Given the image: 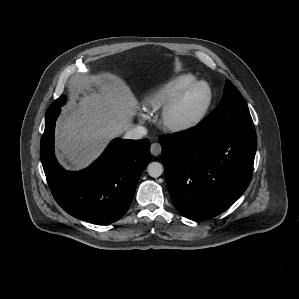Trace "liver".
<instances>
[{"label": "liver", "mask_w": 299, "mask_h": 299, "mask_svg": "<svg viewBox=\"0 0 299 299\" xmlns=\"http://www.w3.org/2000/svg\"><path fill=\"white\" fill-rule=\"evenodd\" d=\"M81 94L71 101L56 127L58 158L68 168L87 166L106 142L129 129L138 102L123 78L109 71L75 81Z\"/></svg>", "instance_id": "6515ba94"}]
</instances>
